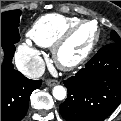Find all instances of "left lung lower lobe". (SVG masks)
Instances as JSON below:
<instances>
[{"mask_svg":"<svg viewBox=\"0 0 121 121\" xmlns=\"http://www.w3.org/2000/svg\"><path fill=\"white\" fill-rule=\"evenodd\" d=\"M63 83L68 96L59 111L66 121H103L121 103V43L102 47Z\"/></svg>","mask_w":121,"mask_h":121,"instance_id":"obj_1","label":"left lung lower lobe"}]
</instances>
